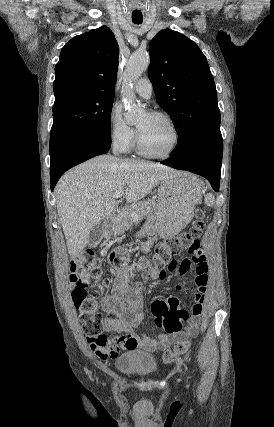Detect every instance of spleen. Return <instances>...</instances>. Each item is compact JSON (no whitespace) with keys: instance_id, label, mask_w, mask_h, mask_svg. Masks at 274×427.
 Returning <instances> with one entry per match:
<instances>
[{"instance_id":"1","label":"spleen","mask_w":274,"mask_h":427,"mask_svg":"<svg viewBox=\"0 0 274 427\" xmlns=\"http://www.w3.org/2000/svg\"><path fill=\"white\" fill-rule=\"evenodd\" d=\"M191 186H193L194 190H199V192H201V182L200 180H198V178H195V180H193V182H191ZM214 196L213 194H206L205 196V202L207 204V206H214Z\"/></svg>"}]
</instances>
